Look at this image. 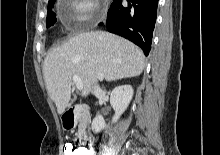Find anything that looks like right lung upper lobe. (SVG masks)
<instances>
[{
	"instance_id": "obj_1",
	"label": "right lung upper lobe",
	"mask_w": 220,
	"mask_h": 155,
	"mask_svg": "<svg viewBox=\"0 0 220 155\" xmlns=\"http://www.w3.org/2000/svg\"><path fill=\"white\" fill-rule=\"evenodd\" d=\"M54 0H49V3L53 2Z\"/></svg>"
}]
</instances>
